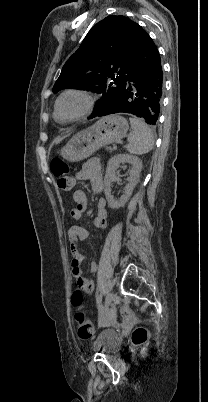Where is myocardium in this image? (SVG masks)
<instances>
[{"label":"myocardium","mask_w":208,"mask_h":402,"mask_svg":"<svg viewBox=\"0 0 208 402\" xmlns=\"http://www.w3.org/2000/svg\"><path fill=\"white\" fill-rule=\"evenodd\" d=\"M68 94H80V95L85 96L88 100V106L85 109V111L82 112L81 114L74 116V117L65 118L59 113L58 106H59L61 99ZM95 105H96V96L93 93H91L87 90H83V89L69 88V89L64 90L57 97V99L54 103V114L61 122H74V121L81 120V119L89 116L93 112Z\"/></svg>","instance_id":"1"}]
</instances>
